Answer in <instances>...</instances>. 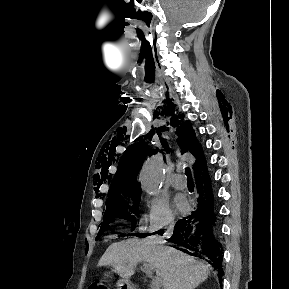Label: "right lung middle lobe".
Returning <instances> with one entry per match:
<instances>
[{
  "mask_svg": "<svg viewBox=\"0 0 289 289\" xmlns=\"http://www.w3.org/2000/svg\"><path fill=\"white\" fill-rule=\"evenodd\" d=\"M140 197L141 194H138L134 195L131 198L106 205L107 208L104 213L103 223L101 225L97 238H99L102 233L107 230L108 224L113 221L114 218L129 220L130 222H132V229H134L136 224V218L134 214H137Z\"/></svg>",
  "mask_w": 289,
  "mask_h": 289,
  "instance_id": "dd1d6c3e",
  "label": "right lung middle lobe"
}]
</instances>
